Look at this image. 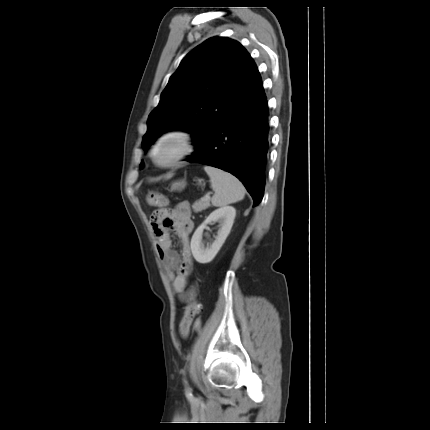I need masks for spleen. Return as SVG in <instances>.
Here are the masks:
<instances>
[{
    "mask_svg": "<svg viewBox=\"0 0 430 430\" xmlns=\"http://www.w3.org/2000/svg\"><path fill=\"white\" fill-rule=\"evenodd\" d=\"M204 170L210 177L211 187L215 192L211 198L214 206L222 207L243 200L245 188L237 177L210 165H206Z\"/></svg>",
    "mask_w": 430,
    "mask_h": 430,
    "instance_id": "obj_1",
    "label": "spleen"
}]
</instances>
